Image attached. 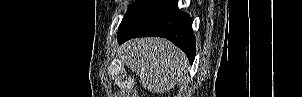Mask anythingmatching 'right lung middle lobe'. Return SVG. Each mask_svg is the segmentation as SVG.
I'll return each instance as SVG.
<instances>
[{
    "label": "right lung middle lobe",
    "instance_id": "dd1d6c3e",
    "mask_svg": "<svg viewBox=\"0 0 302 97\" xmlns=\"http://www.w3.org/2000/svg\"><path fill=\"white\" fill-rule=\"evenodd\" d=\"M146 0H136L134 4H132L127 13L125 14L119 28L142 6V4L145 2Z\"/></svg>",
    "mask_w": 302,
    "mask_h": 97
}]
</instances>
